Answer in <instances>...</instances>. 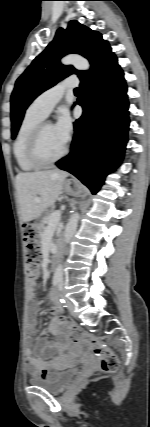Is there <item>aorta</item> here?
I'll use <instances>...</instances> for the list:
<instances>
[{
  "label": "aorta",
  "mask_w": 150,
  "mask_h": 427,
  "mask_svg": "<svg viewBox=\"0 0 150 427\" xmlns=\"http://www.w3.org/2000/svg\"><path fill=\"white\" fill-rule=\"evenodd\" d=\"M61 63L64 65H73L77 70L86 71L90 69V63L87 59L84 57L77 55V54H70L61 59ZM79 214L74 213L70 219L68 224L66 225L65 232H64V241L65 243H69L71 238L76 232L78 221H79ZM54 280L57 282L63 281V265L60 263L58 264L55 272H54Z\"/></svg>",
  "instance_id": "obj_1"
}]
</instances>
